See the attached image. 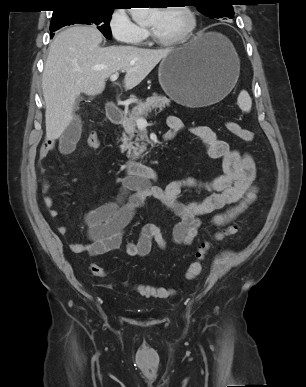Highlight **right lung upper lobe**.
Returning <instances> with one entry per match:
<instances>
[{"label":"right lung upper lobe","instance_id":"cb5924a9","mask_svg":"<svg viewBox=\"0 0 306 387\" xmlns=\"http://www.w3.org/2000/svg\"><path fill=\"white\" fill-rule=\"evenodd\" d=\"M116 0H57V8L53 14L72 7H113Z\"/></svg>","mask_w":306,"mask_h":387}]
</instances>
